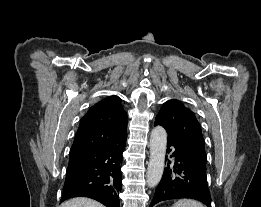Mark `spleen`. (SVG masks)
Returning a JSON list of instances; mask_svg holds the SVG:
<instances>
[{
  "instance_id": "spleen-1",
  "label": "spleen",
  "mask_w": 261,
  "mask_h": 207,
  "mask_svg": "<svg viewBox=\"0 0 261 207\" xmlns=\"http://www.w3.org/2000/svg\"><path fill=\"white\" fill-rule=\"evenodd\" d=\"M172 207H205L200 202L191 199L177 201Z\"/></svg>"
}]
</instances>
